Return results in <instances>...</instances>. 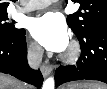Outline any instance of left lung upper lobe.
<instances>
[{
	"label": "left lung upper lobe",
	"mask_w": 107,
	"mask_h": 89,
	"mask_svg": "<svg viewBox=\"0 0 107 89\" xmlns=\"http://www.w3.org/2000/svg\"><path fill=\"white\" fill-rule=\"evenodd\" d=\"M80 3L79 11L68 15L67 24L77 36L90 29L107 26V0H75Z\"/></svg>",
	"instance_id": "obj_1"
}]
</instances>
